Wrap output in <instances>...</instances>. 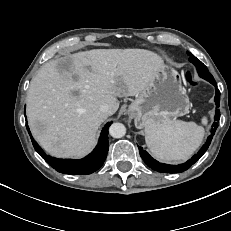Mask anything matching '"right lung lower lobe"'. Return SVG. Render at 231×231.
I'll return each mask as SVG.
<instances>
[{
    "label": "right lung lower lobe",
    "instance_id": "right-lung-lower-lobe-1",
    "mask_svg": "<svg viewBox=\"0 0 231 231\" xmlns=\"http://www.w3.org/2000/svg\"><path fill=\"white\" fill-rule=\"evenodd\" d=\"M112 122H108L101 131V136L96 148L85 158L80 160L57 159L47 155L32 138L28 125L27 130L31 136L33 146L39 155L56 171L64 174L82 175L91 174L98 170L104 163L109 149L108 129Z\"/></svg>",
    "mask_w": 231,
    "mask_h": 231
}]
</instances>
